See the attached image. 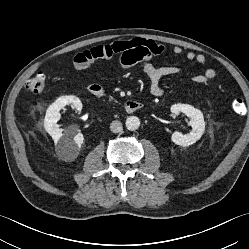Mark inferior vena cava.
Segmentation results:
<instances>
[{
    "mask_svg": "<svg viewBox=\"0 0 249 249\" xmlns=\"http://www.w3.org/2000/svg\"><path fill=\"white\" fill-rule=\"evenodd\" d=\"M110 130L113 133L121 132L123 130L122 123L118 120L112 121V123L110 124Z\"/></svg>",
    "mask_w": 249,
    "mask_h": 249,
    "instance_id": "inferior-vena-cava-1",
    "label": "inferior vena cava"
}]
</instances>
